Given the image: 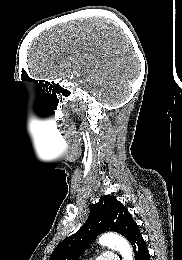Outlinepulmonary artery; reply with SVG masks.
<instances>
[{
    "label": "pulmonary artery",
    "mask_w": 182,
    "mask_h": 260,
    "mask_svg": "<svg viewBox=\"0 0 182 260\" xmlns=\"http://www.w3.org/2000/svg\"><path fill=\"white\" fill-rule=\"evenodd\" d=\"M96 260H119V257L112 252H105L96 258Z\"/></svg>",
    "instance_id": "obj_1"
}]
</instances>
